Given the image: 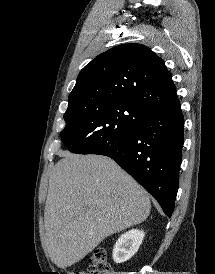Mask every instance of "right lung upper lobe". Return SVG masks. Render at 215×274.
<instances>
[{
    "label": "right lung upper lobe",
    "mask_w": 215,
    "mask_h": 274,
    "mask_svg": "<svg viewBox=\"0 0 215 274\" xmlns=\"http://www.w3.org/2000/svg\"><path fill=\"white\" fill-rule=\"evenodd\" d=\"M118 100L152 112L179 104L172 76L148 47L122 44L100 54L78 75L69 103Z\"/></svg>",
    "instance_id": "1"
}]
</instances>
